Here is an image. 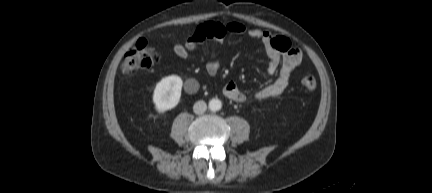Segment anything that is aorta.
Returning a JSON list of instances; mask_svg holds the SVG:
<instances>
[{
    "label": "aorta",
    "instance_id": "aorta-1",
    "mask_svg": "<svg viewBox=\"0 0 432 193\" xmlns=\"http://www.w3.org/2000/svg\"><path fill=\"white\" fill-rule=\"evenodd\" d=\"M208 106L211 111H219L222 108V102L217 98H213L209 101Z\"/></svg>",
    "mask_w": 432,
    "mask_h": 193
}]
</instances>
